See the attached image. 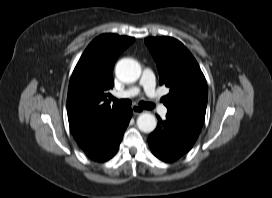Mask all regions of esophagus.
I'll return each instance as SVG.
<instances>
[{"mask_svg":"<svg viewBox=\"0 0 272 198\" xmlns=\"http://www.w3.org/2000/svg\"><path fill=\"white\" fill-rule=\"evenodd\" d=\"M132 110H133L134 115H140V114L146 112L144 109H142L141 107H139L137 105L132 106Z\"/></svg>","mask_w":272,"mask_h":198,"instance_id":"1","label":"esophagus"}]
</instances>
